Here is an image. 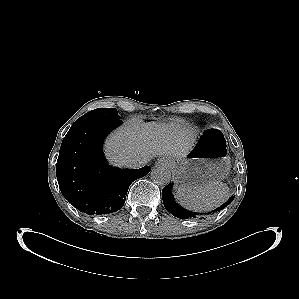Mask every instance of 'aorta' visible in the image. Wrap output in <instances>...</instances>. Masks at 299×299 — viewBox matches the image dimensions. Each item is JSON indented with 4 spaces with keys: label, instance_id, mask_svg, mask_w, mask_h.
<instances>
[{
    "label": "aorta",
    "instance_id": "obj_1",
    "mask_svg": "<svg viewBox=\"0 0 299 299\" xmlns=\"http://www.w3.org/2000/svg\"><path fill=\"white\" fill-rule=\"evenodd\" d=\"M151 179L160 185H166L171 180V172L165 167H156L151 172Z\"/></svg>",
    "mask_w": 299,
    "mask_h": 299
}]
</instances>
